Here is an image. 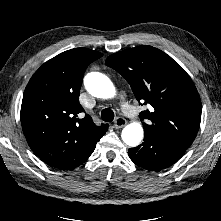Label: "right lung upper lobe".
Returning <instances> with one entry per match:
<instances>
[{
	"label": "right lung upper lobe",
	"mask_w": 221,
	"mask_h": 221,
	"mask_svg": "<svg viewBox=\"0 0 221 221\" xmlns=\"http://www.w3.org/2000/svg\"><path fill=\"white\" fill-rule=\"evenodd\" d=\"M103 54L86 48L65 51L30 79L21 105V125L33 152L47 165L74 169L92 154L108 130L96 126L78 103L87 66Z\"/></svg>",
	"instance_id": "obj_1"
}]
</instances>
